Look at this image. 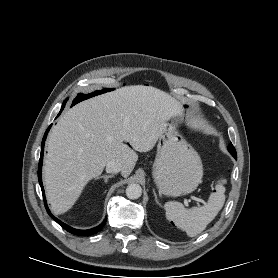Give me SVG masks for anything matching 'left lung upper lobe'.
I'll list each match as a JSON object with an SVG mask.
<instances>
[{
	"label": "left lung upper lobe",
	"instance_id": "left-lung-upper-lobe-1",
	"mask_svg": "<svg viewBox=\"0 0 278 278\" xmlns=\"http://www.w3.org/2000/svg\"><path fill=\"white\" fill-rule=\"evenodd\" d=\"M228 150H229V152L233 155V157L237 156L236 150H235V148L233 147L232 144H229Z\"/></svg>",
	"mask_w": 278,
	"mask_h": 278
}]
</instances>
